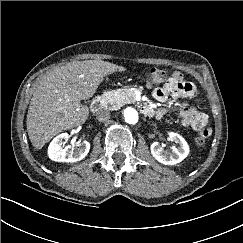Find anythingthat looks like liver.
I'll use <instances>...</instances> for the list:
<instances>
[{
	"label": "liver",
	"mask_w": 243,
	"mask_h": 243,
	"mask_svg": "<svg viewBox=\"0 0 243 243\" xmlns=\"http://www.w3.org/2000/svg\"><path fill=\"white\" fill-rule=\"evenodd\" d=\"M125 68L102 60L73 61L49 71L39 81L27 113L32 145L41 149L58 133L83 124L91 98L104 77Z\"/></svg>",
	"instance_id": "obj_1"
}]
</instances>
